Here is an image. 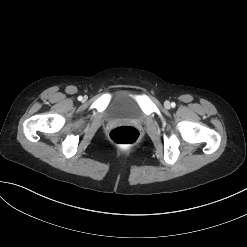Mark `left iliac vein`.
<instances>
[{
  "instance_id": "obj_1",
  "label": "left iliac vein",
  "mask_w": 247,
  "mask_h": 247,
  "mask_svg": "<svg viewBox=\"0 0 247 247\" xmlns=\"http://www.w3.org/2000/svg\"><path fill=\"white\" fill-rule=\"evenodd\" d=\"M164 106H165V108L169 109L171 107V104L169 101H165Z\"/></svg>"
}]
</instances>
